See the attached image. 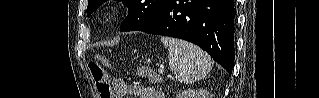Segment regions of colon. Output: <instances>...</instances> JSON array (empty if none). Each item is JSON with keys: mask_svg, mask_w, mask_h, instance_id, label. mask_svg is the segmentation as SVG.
<instances>
[{"mask_svg": "<svg viewBox=\"0 0 319 98\" xmlns=\"http://www.w3.org/2000/svg\"><path fill=\"white\" fill-rule=\"evenodd\" d=\"M107 64V59L104 57L100 58V63H90L88 68L89 72L91 74L92 79L96 83L97 90L100 94L101 98H112V93L110 86L107 82L105 71L103 68V65ZM138 74L142 77L147 78L151 83L158 82V75L157 73L147 67V66H141L138 69Z\"/></svg>", "mask_w": 319, "mask_h": 98, "instance_id": "1", "label": "colon"}]
</instances>
